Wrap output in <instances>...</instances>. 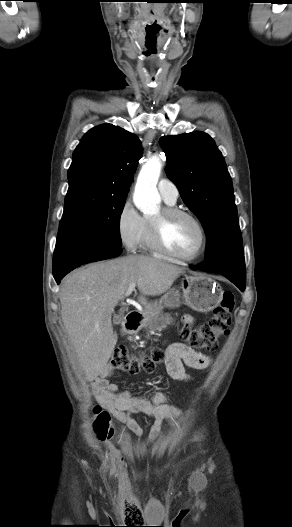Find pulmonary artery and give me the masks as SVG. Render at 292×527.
<instances>
[{
    "instance_id": "e3ab8cb5",
    "label": "pulmonary artery",
    "mask_w": 292,
    "mask_h": 527,
    "mask_svg": "<svg viewBox=\"0 0 292 527\" xmlns=\"http://www.w3.org/2000/svg\"><path fill=\"white\" fill-rule=\"evenodd\" d=\"M158 190L164 200L175 203L179 196V191L176 185L168 179H160L158 182Z\"/></svg>"
}]
</instances>
